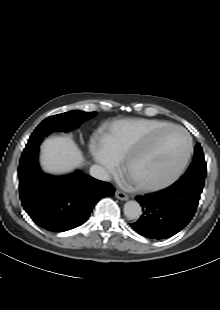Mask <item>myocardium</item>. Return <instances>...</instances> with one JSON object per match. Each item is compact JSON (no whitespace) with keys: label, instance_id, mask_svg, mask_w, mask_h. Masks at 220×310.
<instances>
[{"label":"myocardium","instance_id":"myocardium-1","mask_svg":"<svg viewBox=\"0 0 220 310\" xmlns=\"http://www.w3.org/2000/svg\"><path fill=\"white\" fill-rule=\"evenodd\" d=\"M167 130H177L179 132H182L186 136V138H187V149H186L185 156H184L181 164L178 166V168L165 180L158 182V183H154V184L137 182L136 187L139 190L156 191V190H160V189H163V188L170 186L180 177V175L182 174L186 165L189 162V159H190V156H191V153L193 150V140H192L191 135L183 127L177 126V125H168L162 129L158 130L157 132H155L150 138L160 136L162 133H164ZM146 142L147 141H145L144 143H142V144L138 145L137 147L133 148L132 150H130L127 153V155L123 158L122 169L126 174H128L129 166L131 165L133 160L141 153L142 148Z\"/></svg>","mask_w":220,"mask_h":310}]
</instances>
